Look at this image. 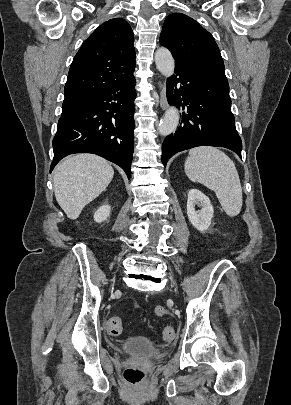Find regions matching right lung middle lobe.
I'll return each instance as SVG.
<instances>
[{"mask_svg": "<svg viewBox=\"0 0 291 405\" xmlns=\"http://www.w3.org/2000/svg\"><path fill=\"white\" fill-rule=\"evenodd\" d=\"M78 104H63L62 105V115L67 114L73 110Z\"/></svg>", "mask_w": 291, "mask_h": 405, "instance_id": "1", "label": "right lung middle lobe"}]
</instances>
